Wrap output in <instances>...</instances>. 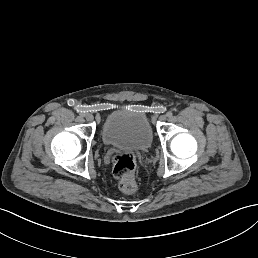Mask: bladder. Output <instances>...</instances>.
<instances>
[{
	"label": "bladder",
	"instance_id": "obj_1",
	"mask_svg": "<svg viewBox=\"0 0 258 258\" xmlns=\"http://www.w3.org/2000/svg\"><path fill=\"white\" fill-rule=\"evenodd\" d=\"M152 129L144 112L134 107L111 111L102 125V139L120 153L136 155L145 152L152 143Z\"/></svg>",
	"mask_w": 258,
	"mask_h": 258
}]
</instances>
